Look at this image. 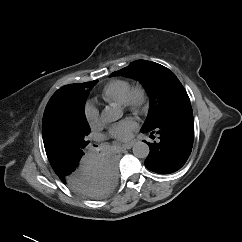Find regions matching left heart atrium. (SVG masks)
I'll return each mask as SVG.
<instances>
[{
    "mask_svg": "<svg viewBox=\"0 0 242 242\" xmlns=\"http://www.w3.org/2000/svg\"><path fill=\"white\" fill-rule=\"evenodd\" d=\"M136 126L137 123L134 119L125 118L124 120L111 127L110 136L117 141H128L131 138L132 132Z\"/></svg>",
    "mask_w": 242,
    "mask_h": 242,
    "instance_id": "1",
    "label": "left heart atrium"
}]
</instances>
